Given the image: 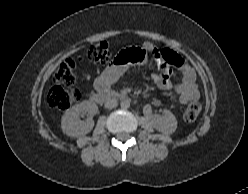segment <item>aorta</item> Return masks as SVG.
Listing matches in <instances>:
<instances>
[{"mask_svg":"<svg viewBox=\"0 0 248 194\" xmlns=\"http://www.w3.org/2000/svg\"><path fill=\"white\" fill-rule=\"evenodd\" d=\"M121 108L127 109L130 107V100L129 99H123L120 103Z\"/></svg>","mask_w":248,"mask_h":194,"instance_id":"obj_1","label":"aorta"}]
</instances>
